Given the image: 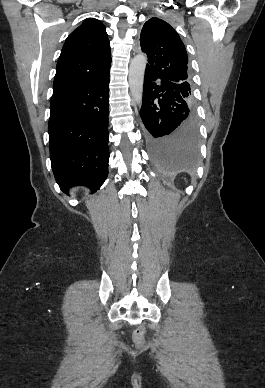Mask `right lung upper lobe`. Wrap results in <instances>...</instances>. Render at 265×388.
Here are the masks:
<instances>
[{"label": "right lung upper lobe", "mask_w": 265, "mask_h": 388, "mask_svg": "<svg viewBox=\"0 0 265 388\" xmlns=\"http://www.w3.org/2000/svg\"><path fill=\"white\" fill-rule=\"evenodd\" d=\"M111 52L105 26L87 18L66 39L58 59L53 93L97 81L110 72Z\"/></svg>", "instance_id": "right-lung-upper-lobe-1"}]
</instances>
